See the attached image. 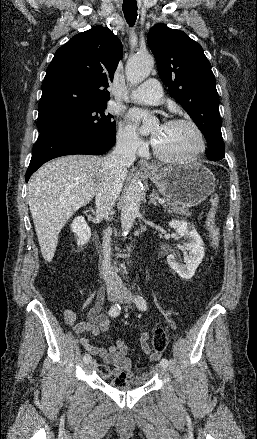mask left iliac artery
Wrapping results in <instances>:
<instances>
[{"mask_svg":"<svg viewBox=\"0 0 257 439\" xmlns=\"http://www.w3.org/2000/svg\"><path fill=\"white\" fill-rule=\"evenodd\" d=\"M135 303H136L137 307H138L140 310L145 311V310L147 309V302H146V300H145L142 296L137 295V296L135 297ZM160 364H161V365H166V366H168V365H169V362H168V360H167L166 358H163V359L160 361Z\"/></svg>","mask_w":257,"mask_h":439,"instance_id":"44dca946","label":"left iliac artery"}]
</instances>
